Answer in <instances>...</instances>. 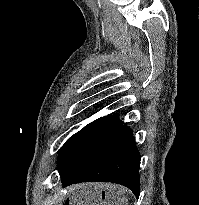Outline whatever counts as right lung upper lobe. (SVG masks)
Masks as SVG:
<instances>
[{
	"mask_svg": "<svg viewBox=\"0 0 199 205\" xmlns=\"http://www.w3.org/2000/svg\"><path fill=\"white\" fill-rule=\"evenodd\" d=\"M118 114H114V115H109L108 117H112V118H117L118 119Z\"/></svg>",
	"mask_w": 199,
	"mask_h": 205,
	"instance_id": "right-lung-upper-lobe-1",
	"label": "right lung upper lobe"
}]
</instances>
